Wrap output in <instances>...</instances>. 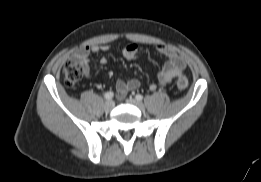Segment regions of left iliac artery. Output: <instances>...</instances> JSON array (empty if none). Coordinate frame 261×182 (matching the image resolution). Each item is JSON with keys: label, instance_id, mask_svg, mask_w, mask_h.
<instances>
[{"label": "left iliac artery", "instance_id": "left-iliac-artery-1", "mask_svg": "<svg viewBox=\"0 0 261 182\" xmlns=\"http://www.w3.org/2000/svg\"><path fill=\"white\" fill-rule=\"evenodd\" d=\"M135 98H136V100H138V101H142V100H143V96H142L141 94H137V95L135 96Z\"/></svg>", "mask_w": 261, "mask_h": 182}]
</instances>
